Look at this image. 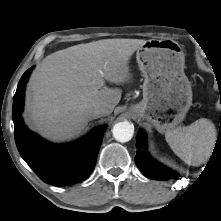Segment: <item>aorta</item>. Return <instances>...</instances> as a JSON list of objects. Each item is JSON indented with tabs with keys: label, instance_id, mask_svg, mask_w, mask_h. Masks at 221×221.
I'll return each mask as SVG.
<instances>
[{
	"label": "aorta",
	"instance_id": "762f6f07",
	"mask_svg": "<svg viewBox=\"0 0 221 221\" xmlns=\"http://www.w3.org/2000/svg\"><path fill=\"white\" fill-rule=\"evenodd\" d=\"M113 137L119 142H128L132 139L134 128L127 122L116 123L112 129Z\"/></svg>",
	"mask_w": 221,
	"mask_h": 221
}]
</instances>
